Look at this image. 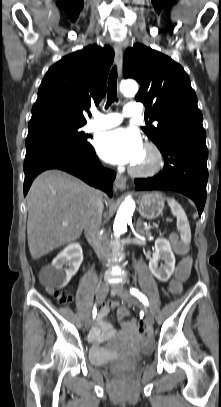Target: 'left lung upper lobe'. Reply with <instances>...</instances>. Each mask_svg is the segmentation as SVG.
<instances>
[{
	"instance_id": "left-lung-upper-lobe-1",
	"label": "left lung upper lobe",
	"mask_w": 221,
	"mask_h": 407,
	"mask_svg": "<svg viewBox=\"0 0 221 407\" xmlns=\"http://www.w3.org/2000/svg\"><path fill=\"white\" fill-rule=\"evenodd\" d=\"M123 76L140 83L136 101L146 106L151 121H158L157 126L149 123L142 130L157 146L175 128H203L190 79L170 57L137 43L124 53Z\"/></svg>"
}]
</instances>
